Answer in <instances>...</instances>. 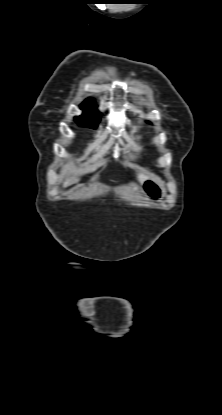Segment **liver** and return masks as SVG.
<instances>
[{
    "mask_svg": "<svg viewBox=\"0 0 222 415\" xmlns=\"http://www.w3.org/2000/svg\"><path fill=\"white\" fill-rule=\"evenodd\" d=\"M137 177H138V180L141 183L147 178V176L144 175V174H142V173L138 174ZM78 181H79L78 178L69 179V180H67V181L64 182V187L70 186V185H72V184H74V183H76Z\"/></svg>",
    "mask_w": 222,
    "mask_h": 415,
    "instance_id": "obj_1",
    "label": "liver"
}]
</instances>
